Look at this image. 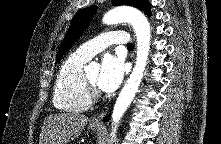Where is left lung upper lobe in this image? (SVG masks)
Instances as JSON below:
<instances>
[{
  "instance_id": "1",
  "label": "left lung upper lobe",
  "mask_w": 221,
  "mask_h": 144,
  "mask_svg": "<svg viewBox=\"0 0 221 144\" xmlns=\"http://www.w3.org/2000/svg\"><path fill=\"white\" fill-rule=\"evenodd\" d=\"M113 5H129L136 7L144 11L148 16L151 15L150 4L148 0H113ZM97 11V6H90L80 10L74 17L71 26L64 37V41L58 51L56 61L58 62L61 57L71 48L78 38L81 36L83 31L88 26L89 22L93 18Z\"/></svg>"
}]
</instances>
